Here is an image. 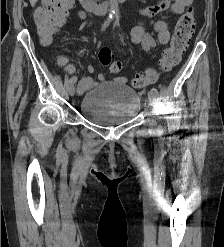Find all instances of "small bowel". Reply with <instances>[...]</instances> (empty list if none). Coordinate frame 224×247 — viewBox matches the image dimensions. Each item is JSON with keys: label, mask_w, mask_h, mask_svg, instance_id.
I'll list each match as a JSON object with an SVG mask.
<instances>
[{"label": "small bowel", "mask_w": 224, "mask_h": 247, "mask_svg": "<svg viewBox=\"0 0 224 247\" xmlns=\"http://www.w3.org/2000/svg\"><path fill=\"white\" fill-rule=\"evenodd\" d=\"M191 1L192 0H161L155 5L141 8L139 12L145 17H153L158 13L170 9L173 14L180 15L183 13L185 8L191 4ZM75 15L83 20L81 29H84L90 25V21L86 19V15L83 11H78ZM154 29L157 32V39L159 43L167 44L170 39V31L167 23L163 20H157L154 24ZM130 39L132 43L140 46L144 51H149L156 45L154 37L145 31L143 22L138 23L132 28ZM117 81L125 84L127 82V78L119 77L117 78Z\"/></svg>", "instance_id": "obj_1"}]
</instances>
